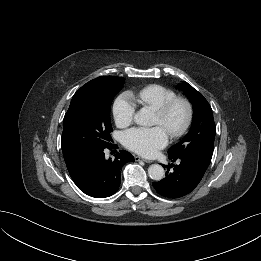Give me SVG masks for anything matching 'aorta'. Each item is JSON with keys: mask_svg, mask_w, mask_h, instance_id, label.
<instances>
[{"mask_svg": "<svg viewBox=\"0 0 261 261\" xmlns=\"http://www.w3.org/2000/svg\"><path fill=\"white\" fill-rule=\"evenodd\" d=\"M153 119V112L150 108L144 107L140 109L135 115H134V121L136 124L141 126H147L152 124ZM148 174L151 179L160 181L164 178L165 171L164 168L159 164H152L148 168Z\"/></svg>", "mask_w": 261, "mask_h": 261, "instance_id": "obj_1", "label": "aorta"}]
</instances>
